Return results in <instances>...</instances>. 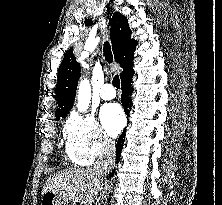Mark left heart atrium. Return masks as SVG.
Masks as SVG:
<instances>
[{"instance_id": "left-heart-atrium-1", "label": "left heart atrium", "mask_w": 222, "mask_h": 205, "mask_svg": "<svg viewBox=\"0 0 222 205\" xmlns=\"http://www.w3.org/2000/svg\"><path fill=\"white\" fill-rule=\"evenodd\" d=\"M102 125L111 136H116L124 126V115L116 103L106 104L100 111Z\"/></svg>"}]
</instances>
